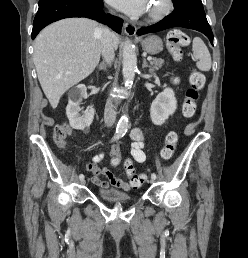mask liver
<instances>
[{
    "label": "liver",
    "instance_id": "1",
    "mask_svg": "<svg viewBox=\"0 0 248 258\" xmlns=\"http://www.w3.org/2000/svg\"><path fill=\"white\" fill-rule=\"evenodd\" d=\"M102 27L86 18H67L43 29L35 39L33 61L52 108L72 86L88 77L100 60ZM119 37L113 34V45Z\"/></svg>",
    "mask_w": 248,
    "mask_h": 258
}]
</instances>
